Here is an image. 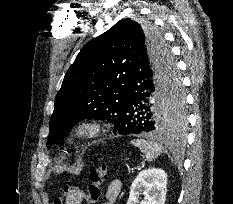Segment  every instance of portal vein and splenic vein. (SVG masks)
I'll use <instances>...</instances> for the list:
<instances>
[{"label":"portal vein and splenic vein","mask_w":233,"mask_h":204,"mask_svg":"<svg viewBox=\"0 0 233 204\" xmlns=\"http://www.w3.org/2000/svg\"><path fill=\"white\" fill-rule=\"evenodd\" d=\"M132 172H134V168H132Z\"/></svg>","instance_id":"1"}]
</instances>
